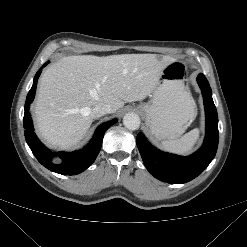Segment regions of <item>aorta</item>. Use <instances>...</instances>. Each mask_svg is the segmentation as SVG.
<instances>
[{"label": "aorta", "instance_id": "1", "mask_svg": "<svg viewBox=\"0 0 247 247\" xmlns=\"http://www.w3.org/2000/svg\"><path fill=\"white\" fill-rule=\"evenodd\" d=\"M123 124L129 130H137L140 127V118L135 113H127L123 118Z\"/></svg>", "mask_w": 247, "mask_h": 247}]
</instances>
